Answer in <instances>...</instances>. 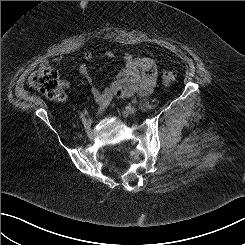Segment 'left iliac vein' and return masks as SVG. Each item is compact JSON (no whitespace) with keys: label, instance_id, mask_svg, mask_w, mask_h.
I'll use <instances>...</instances> for the list:
<instances>
[{"label":"left iliac vein","instance_id":"1","mask_svg":"<svg viewBox=\"0 0 245 245\" xmlns=\"http://www.w3.org/2000/svg\"><path fill=\"white\" fill-rule=\"evenodd\" d=\"M125 111L128 114H135L137 112V109L133 106H127Z\"/></svg>","mask_w":245,"mask_h":245}]
</instances>
